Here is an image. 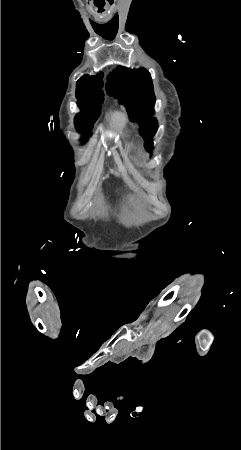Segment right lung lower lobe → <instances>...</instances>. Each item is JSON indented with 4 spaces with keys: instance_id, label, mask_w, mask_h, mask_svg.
<instances>
[{
    "instance_id": "right-lung-lower-lobe-1",
    "label": "right lung lower lobe",
    "mask_w": 241,
    "mask_h": 450,
    "mask_svg": "<svg viewBox=\"0 0 241 450\" xmlns=\"http://www.w3.org/2000/svg\"><path fill=\"white\" fill-rule=\"evenodd\" d=\"M93 126V119L90 114H86L83 116V118L79 121L77 130L81 132L84 135H89V131H91Z\"/></svg>"
}]
</instances>
